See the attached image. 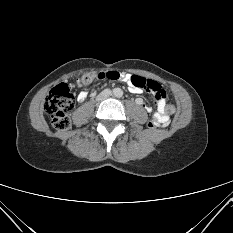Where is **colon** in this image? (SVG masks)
I'll return each mask as SVG.
<instances>
[{
  "label": "colon",
  "mask_w": 233,
  "mask_h": 233,
  "mask_svg": "<svg viewBox=\"0 0 233 233\" xmlns=\"http://www.w3.org/2000/svg\"><path fill=\"white\" fill-rule=\"evenodd\" d=\"M107 74V72L105 73ZM98 73L89 72L82 75L80 78V84L83 86H90L95 81L100 80ZM105 78H108L107 76ZM110 79V78H108ZM131 83L134 87L141 90H145L152 93L156 100L165 98V91L162 89L159 83L146 79L144 77L133 75L131 77ZM74 107V96L67 84L61 83L56 85L50 91L48 97L44 103V110L51 118L53 127L58 131L68 130L70 127V119L68 112ZM175 111V107L172 104L166 105V113L172 114ZM158 119L153 116L149 121L148 127L154 128L158 126Z\"/></svg>",
  "instance_id": "1"
}]
</instances>
